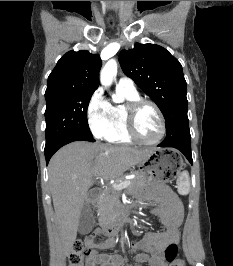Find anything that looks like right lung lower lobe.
Returning <instances> with one entry per match:
<instances>
[{"instance_id":"obj_1","label":"right lung lower lobe","mask_w":233,"mask_h":266,"mask_svg":"<svg viewBox=\"0 0 233 266\" xmlns=\"http://www.w3.org/2000/svg\"><path fill=\"white\" fill-rule=\"evenodd\" d=\"M79 140H83V141H90V142H94V138L92 135L89 134H75L72 136H68L66 138H63L59 141H57L56 143H54L53 145L49 146V147H45V158H46V163L48 164L50 158L52 157V155L62 146L73 142V141H79Z\"/></svg>"}]
</instances>
